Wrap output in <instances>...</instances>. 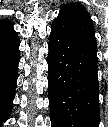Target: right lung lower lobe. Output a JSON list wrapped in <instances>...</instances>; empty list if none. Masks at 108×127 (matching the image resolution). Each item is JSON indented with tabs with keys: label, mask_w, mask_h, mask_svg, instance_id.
Wrapping results in <instances>:
<instances>
[{
	"label": "right lung lower lobe",
	"mask_w": 108,
	"mask_h": 127,
	"mask_svg": "<svg viewBox=\"0 0 108 127\" xmlns=\"http://www.w3.org/2000/svg\"><path fill=\"white\" fill-rule=\"evenodd\" d=\"M19 38L9 21L0 22V124L11 110L17 83Z\"/></svg>",
	"instance_id": "obj_1"
}]
</instances>
